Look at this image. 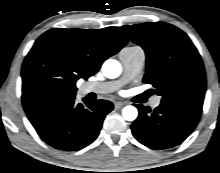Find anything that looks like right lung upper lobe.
Returning <instances> with one entry per match:
<instances>
[{"mask_svg": "<svg viewBox=\"0 0 220 173\" xmlns=\"http://www.w3.org/2000/svg\"><path fill=\"white\" fill-rule=\"evenodd\" d=\"M128 42L117 28H54L42 34L22 66L25 111L47 101L71 96L78 79H87ZM27 109V110H26Z\"/></svg>", "mask_w": 220, "mask_h": 173, "instance_id": "obj_1", "label": "right lung upper lobe"}]
</instances>
